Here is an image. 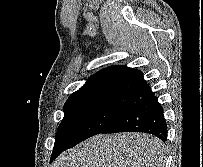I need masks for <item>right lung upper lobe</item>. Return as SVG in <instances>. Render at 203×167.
Returning a JSON list of instances; mask_svg holds the SVG:
<instances>
[{
    "mask_svg": "<svg viewBox=\"0 0 203 167\" xmlns=\"http://www.w3.org/2000/svg\"><path fill=\"white\" fill-rule=\"evenodd\" d=\"M153 94L141 71L127 66H110L92 75L66 103L78 100H105L132 106Z\"/></svg>",
    "mask_w": 203,
    "mask_h": 167,
    "instance_id": "cb5924a9",
    "label": "right lung upper lobe"
}]
</instances>
